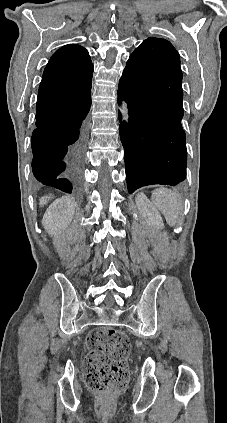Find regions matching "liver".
Instances as JSON below:
<instances>
[{"label":"liver","instance_id":"obj_1","mask_svg":"<svg viewBox=\"0 0 227 423\" xmlns=\"http://www.w3.org/2000/svg\"><path fill=\"white\" fill-rule=\"evenodd\" d=\"M49 200H51V194H50V196H44V198H40L39 206H41V208H43V206H45V204H47V202H49Z\"/></svg>","mask_w":227,"mask_h":423}]
</instances>
